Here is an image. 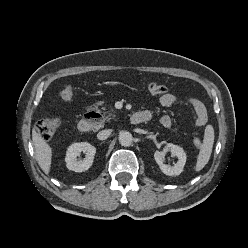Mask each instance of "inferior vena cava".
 I'll list each match as a JSON object with an SVG mask.
<instances>
[{
	"instance_id": "1",
	"label": "inferior vena cava",
	"mask_w": 248,
	"mask_h": 248,
	"mask_svg": "<svg viewBox=\"0 0 248 248\" xmlns=\"http://www.w3.org/2000/svg\"><path fill=\"white\" fill-rule=\"evenodd\" d=\"M111 132V129L102 130L97 134V138L99 140H105L110 136Z\"/></svg>"
}]
</instances>
